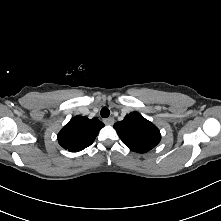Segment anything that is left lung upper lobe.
Segmentation results:
<instances>
[{
	"label": "left lung upper lobe",
	"instance_id": "left-lung-upper-lobe-1",
	"mask_svg": "<svg viewBox=\"0 0 221 221\" xmlns=\"http://www.w3.org/2000/svg\"><path fill=\"white\" fill-rule=\"evenodd\" d=\"M114 128L122 142L134 152H148L161 140L159 129L138 112L126 115Z\"/></svg>",
	"mask_w": 221,
	"mask_h": 221
}]
</instances>
